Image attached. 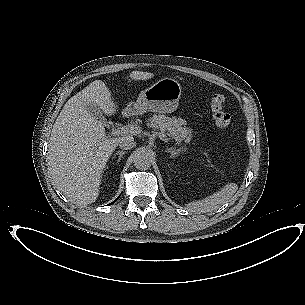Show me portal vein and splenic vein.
I'll return each mask as SVG.
<instances>
[{
    "instance_id": "1",
    "label": "portal vein and splenic vein",
    "mask_w": 305,
    "mask_h": 305,
    "mask_svg": "<svg viewBox=\"0 0 305 305\" xmlns=\"http://www.w3.org/2000/svg\"><path fill=\"white\" fill-rule=\"evenodd\" d=\"M113 134H121V133H137L136 128L134 126H123L118 129H113Z\"/></svg>"
}]
</instances>
